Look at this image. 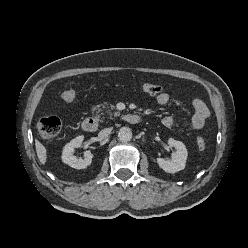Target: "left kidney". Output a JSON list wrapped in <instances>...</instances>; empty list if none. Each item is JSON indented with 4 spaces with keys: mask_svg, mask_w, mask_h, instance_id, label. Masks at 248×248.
Segmentation results:
<instances>
[{
    "mask_svg": "<svg viewBox=\"0 0 248 248\" xmlns=\"http://www.w3.org/2000/svg\"><path fill=\"white\" fill-rule=\"evenodd\" d=\"M168 144L176 149L172 154L171 160L158 157L157 163L165 172L176 173L185 168L188 152L182 142L174 140L173 138L168 140Z\"/></svg>",
    "mask_w": 248,
    "mask_h": 248,
    "instance_id": "left-kidney-1",
    "label": "left kidney"
}]
</instances>
